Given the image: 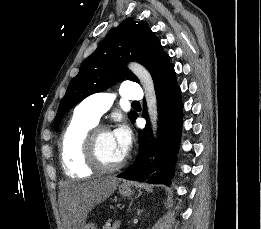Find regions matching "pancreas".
Masks as SVG:
<instances>
[{
    "label": "pancreas",
    "instance_id": "cf45deb5",
    "mask_svg": "<svg viewBox=\"0 0 261 229\" xmlns=\"http://www.w3.org/2000/svg\"><path fill=\"white\" fill-rule=\"evenodd\" d=\"M103 229H115L114 227H103Z\"/></svg>",
    "mask_w": 261,
    "mask_h": 229
}]
</instances>
